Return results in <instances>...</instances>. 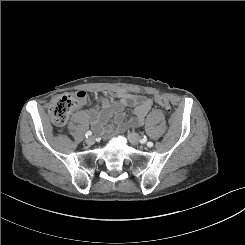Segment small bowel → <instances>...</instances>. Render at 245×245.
Listing matches in <instances>:
<instances>
[{
  "instance_id": "obj_1",
  "label": "small bowel",
  "mask_w": 245,
  "mask_h": 245,
  "mask_svg": "<svg viewBox=\"0 0 245 245\" xmlns=\"http://www.w3.org/2000/svg\"><path fill=\"white\" fill-rule=\"evenodd\" d=\"M100 104V110H89L88 117L94 130L97 133H104L111 115H114V124L119 131L129 127L141 126L148 112L152 109L153 100L150 97L131 94L122 89H113L100 97ZM126 108H133L134 114L125 122Z\"/></svg>"
}]
</instances>
